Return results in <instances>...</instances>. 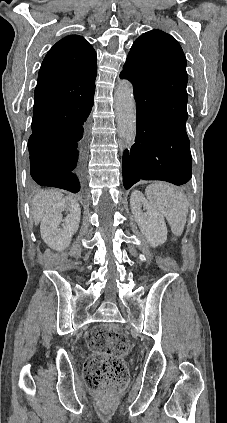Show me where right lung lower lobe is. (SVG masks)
Returning a JSON list of instances; mask_svg holds the SVG:
<instances>
[{
    "label": "right lung lower lobe",
    "instance_id": "98d812e1",
    "mask_svg": "<svg viewBox=\"0 0 227 423\" xmlns=\"http://www.w3.org/2000/svg\"><path fill=\"white\" fill-rule=\"evenodd\" d=\"M93 95L63 101L34 98L32 127L40 133L28 141L30 174L40 186L77 193L87 154V124Z\"/></svg>",
    "mask_w": 227,
    "mask_h": 423
}]
</instances>
